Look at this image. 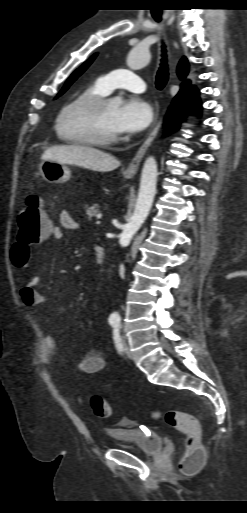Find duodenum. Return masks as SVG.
Wrapping results in <instances>:
<instances>
[{"label":"duodenum","instance_id":"duodenum-1","mask_svg":"<svg viewBox=\"0 0 247 513\" xmlns=\"http://www.w3.org/2000/svg\"><path fill=\"white\" fill-rule=\"evenodd\" d=\"M95 261L97 264H103L105 260V249L101 244H96L94 247Z\"/></svg>","mask_w":247,"mask_h":513}]
</instances>
